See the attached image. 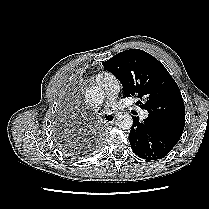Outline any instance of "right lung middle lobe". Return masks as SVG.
<instances>
[{
	"instance_id": "right-lung-middle-lobe-1",
	"label": "right lung middle lobe",
	"mask_w": 209,
	"mask_h": 209,
	"mask_svg": "<svg viewBox=\"0 0 209 209\" xmlns=\"http://www.w3.org/2000/svg\"><path fill=\"white\" fill-rule=\"evenodd\" d=\"M63 148H64V150L67 151V153H69V154H75L74 151L73 152L71 151V148L69 146L63 145Z\"/></svg>"
}]
</instances>
